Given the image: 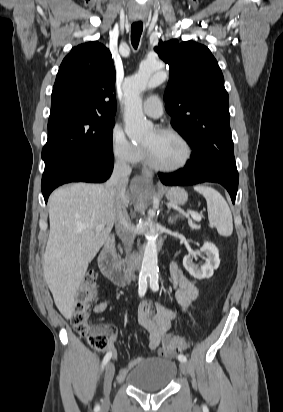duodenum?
Returning a JSON list of instances; mask_svg holds the SVG:
<instances>
[{
    "label": "duodenum",
    "instance_id": "410a0bca",
    "mask_svg": "<svg viewBox=\"0 0 283 412\" xmlns=\"http://www.w3.org/2000/svg\"><path fill=\"white\" fill-rule=\"evenodd\" d=\"M140 261L141 256L129 262L119 263L114 255L112 237L107 240L99 255L102 273L118 286H124L133 280Z\"/></svg>",
    "mask_w": 283,
    "mask_h": 412
}]
</instances>
